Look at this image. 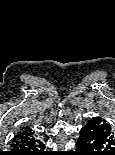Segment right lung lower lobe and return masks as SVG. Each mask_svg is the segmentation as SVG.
Listing matches in <instances>:
<instances>
[{
	"instance_id": "98d812e1",
	"label": "right lung lower lobe",
	"mask_w": 115,
	"mask_h": 155,
	"mask_svg": "<svg viewBox=\"0 0 115 155\" xmlns=\"http://www.w3.org/2000/svg\"><path fill=\"white\" fill-rule=\"evenodd\" d=\"M48 153L35 131L25 128L14 137L10 155H49Z\"/></svg>"
}]
</instances>
